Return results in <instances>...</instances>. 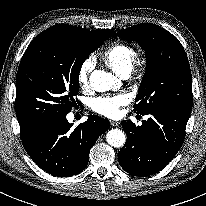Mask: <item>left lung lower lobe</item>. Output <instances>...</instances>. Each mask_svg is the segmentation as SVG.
<instances>
[{
    "label": "left lung lower lobe",
    "instance_id": "0a47b994",
    "mask_svg": "<svg viewBox=\"0 0 206 206\" xmlns=\"http://www.w3.org/2000/svg\"><path fill=\"white\" fill-rule=\"evenodd\" d=\"M190 113L181 108L154 107L144 114L150 118L141 126L131 120L122 121L127 140L118 155L121 167L135 176L162 170L181 148Z\"/></svg>",
    "mask_w": 206,
    "mask_h": 206
}]
</instances>
